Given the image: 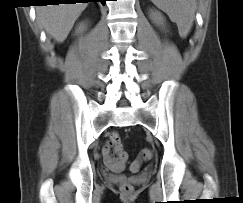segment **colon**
<instances>
[{
	"label": "colon",
	"mask_w": 243,
	"mask_h": 203,
	"mask_svg": "<svg viewBox=\"0 0 243 203\" xmlns=\"http://www.w3.org/2000/svg\"><path fill=\"white\" fill-rule=\"evenodd\" d=\"M119 157L122 161H125L128 157V154H127L126 151L121 149L120 152H119ZM152 157H153V153L149 149H144L140 153V159L142 161L150 160V159H152ZM120 190L123 193L130 194L133 191V187L129 183H123V184L120 185Z\"/></svg>",
	"instance_id": "5ec220e1"
}]
</instances>
